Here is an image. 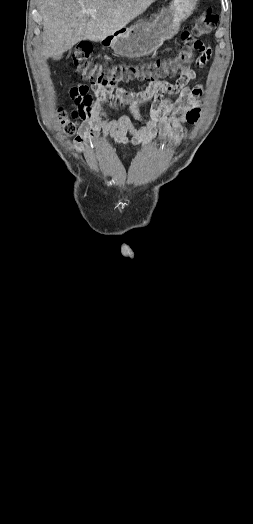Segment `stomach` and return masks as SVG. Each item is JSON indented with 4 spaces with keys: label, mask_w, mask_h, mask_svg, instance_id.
I'll use <instances>...</instances> for the list:
<instances>
[{
    "label": "stomach",
    "mask_w": 253,
    "mask_h": 524,
    "mask_svg": "<svg viewBox=\"0 0 253 524\" xmlns=\"http://www.w3.org/2000/svg\"><path fill=\"white\" fill-rule=\"evenodd\" d=\"M197 0H173L152 22L138 21L100 40L122 57L140 58L157 50L165 40L171 39L181 23L193 13Z\"/></svg>",
    "instance_id": "0dacf381"
}]
</instances>
